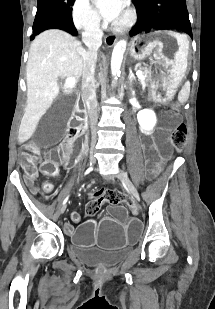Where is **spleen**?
<instances>
[{
    "label": "spleen",
    "mask_w": 215,
    "mask_h": 309,
    "mask_svg": "<svg viewBox=\"0 0 215 309\" xmlns=\"http://www.w3.org/2000/svg\"><path fill=\"white\" fill-rule=\"evenodd\" d=\"M188 82H186L185 86H187ZM178 100H180V102H184V98H183V92H180L179 96H178Z\"/></svg>",
    "instance_id": "spleen-1"
}]
</instances>
